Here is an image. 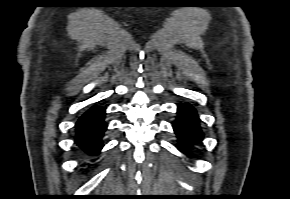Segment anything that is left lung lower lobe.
I'll return each instance as SVG.
<instances>
[{"mask_svg":"<svg viewBox=\"0 0 290 199\" xmlns=\"http://www.w3.org/2000/svg\"><path fill=\"white\" fill-rule=\"evenodd\" d=\"M173 127L181 151H188L192 143L200 141L203 137L196 110L190 104H182L178 107V118Z\"/></svg>","mask_w":290,"mask_h":199,"instance_id":"obj_1","label":"left lung lower lobe"}]
</instances>
